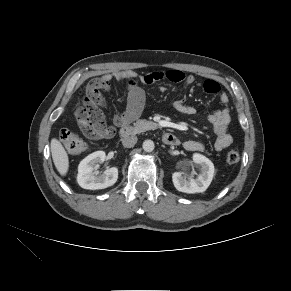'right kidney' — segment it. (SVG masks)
I'll list each match as a JSON object with an SVG mask.
<instances>
[{"label":"right kidney","mask_w":291,"mask_h":291,"mask_svg":"<svg viewBox=\"0 0 291 291\" xmlns=\"http://www.w3.org/2000/svg\"><path fill=\"white\" fill-rule=\"evenodd\" d=\"M105 152L96 151L85 157L78 166V184L89 190L104 189L114 185L118 179V169L112 167L99 175L94 172L98 163L105 161Z\"/></svg>","instance_id":"obj_1"}]
</instances>
